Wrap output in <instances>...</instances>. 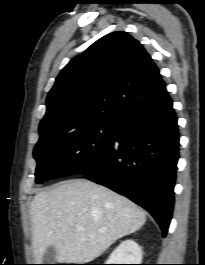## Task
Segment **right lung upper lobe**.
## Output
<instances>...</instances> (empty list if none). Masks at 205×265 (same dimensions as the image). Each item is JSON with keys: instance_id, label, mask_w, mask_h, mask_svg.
Returning <instances> with one entry per match:
<instances>
[{"instance_id": "obj_1", "label": "right lung upper lobe", "mask_w": 205, "mask_h": 265, "mask_svg": "<svg viewBox=\"0 0 205 265\" xmlns=\"http://www.w3.org/2000/svg\"><path fill=\"white\" fill-rule=\"evenodd\" d=\"M166 91L158 67L139 41L110 33L69 62L50 90L39 132L61 133L94 122L118 123Z\"/></svg>"}]
</instances>
